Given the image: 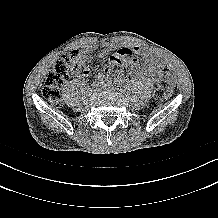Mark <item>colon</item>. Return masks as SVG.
I'll return each instance as SVG.
<instances>
[{
  "label": "colon",
  "mask_w": 218,
  "mask_h": 218,
  "mask_svg": "<svg viewBox=\"0 0 218 218\" xmlns=\"http://www.w3.org/2000/svg\"><path fill=\"white\" fill-rule=\"evenodd\" d=\"M74 59V52L69 56H64L56 62L49 72L43 89V96L54 105H58L61 101V86L68 80L71 73V65ZM170 93V77L168 70L162 68L159 73L158 86L148 100V107L156 109L160 107Z\"/></svg>",
  "instance_id": "obj_1"
}]
</instances>
